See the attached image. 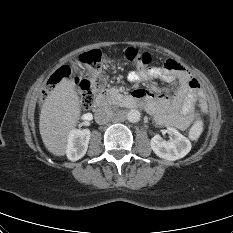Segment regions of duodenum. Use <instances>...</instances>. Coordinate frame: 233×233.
Wrapping results in <instances>:
<instances>
[{
  "mask_svg": "<svg viewBox=\"0 0 233 233\" xmlns=\"http://www.w3.org/2000/svg\"><path fill=\"white\" fill-rule=\"evenodd\" d=\"M113 94L111 92L105 91L102 92L95 100L94 106L99 109L107 102H109L113 98ZM120 103L128 108H134L137 105V98L133 96L129 97H120L119 98Z\"/></svg>",
  "mask_w": 233,
  "mask_h": 233,
  "instance_id": "410a0bca",
  "label": "duodenum"
}]
</instances>
